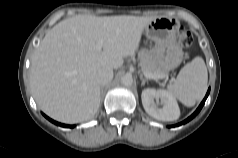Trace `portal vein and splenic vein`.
<instances>
[{"instance_id":"1","label":"portal vein and splenic vein","mask_w":238,"mask_h":158,"mask_svg":"<svg viewBox=\"0 0 238 158\" xmlns=\"http://www.w3.org/2000/svg\"><path fill=\"white\" fill-rule=\"evenodd\" d=\"M102 46H103V40H99L97 45H96V50L100 51L102 49ZM144 75L148 79H160V78L164 77L163 75L151 74V73H148V72H144Z\"/></svg>"}]
</instances>
